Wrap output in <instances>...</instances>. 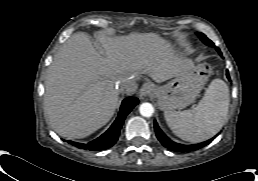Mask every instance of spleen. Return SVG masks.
I'll return each mask as SVG.
<instances>
[{"label": "spleen", "instance_id": "3e777b00", "mask_svg": "<svg viewBox=\"0 0 258 181\" xmlns=\"http://www.w3.org/2000/svg\"><path fill=\"white\" fill-rule=\"evenodd\" d=\"M229 109V89L221 79H214L192 110L166 111V122L181 139L200 142L209 139L222 128Z\"/></svg>", "mask_w": 258, "mask_h": 181}]
</instances>
